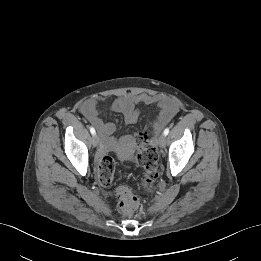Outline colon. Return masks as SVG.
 I'll return each instance as SVG.
<instances>
[{"label":"colon","mask_w":261,"mask_h":261,"mask_svg":"<svg viewBox=\"0 0 261 261\" xmlns=\"http://www.w3.org/2000/svg\"><path fill=\"white\" fill-rule=\"evenodd\" d=\"M137 146V162L144 172L139 186L144 190H151L158 178V154L150 143L147 133H136L133 137ZM115 172V161L111 156H104L99 164V181L104 187L110 186ZM120 200L121 211L128 215L138 206V200L132 190L125 185L116 189Z\"/></svg>","instance_id":"5ec220e1"}]
</instances>
